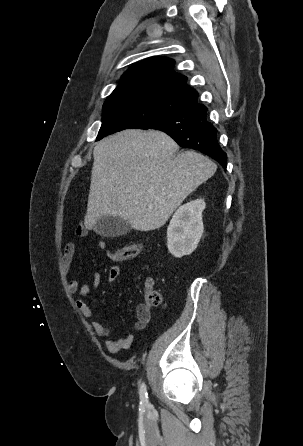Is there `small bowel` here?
<instances>
[{"mask_svg": "<svg viewBox=\"0 0 303 446\" xmlns=\"http://www.w3.org/2000/svg\"><path fill=\"white\" fill-rule=\"evenodd\" d=\"M87 228L83 223H80L76 229V235L78 237H84L87 235ZM99 249L104 250L106 247V243L104 241H99L97 243ZM75 253V244L73 242L66 243L62 256V263L66 273H68L73 257ZM121 269L118 265H114L110 268L107 281L109 283L114 282L120 275ZM101 284V277L98 272L92 274L91 280L81 284L76 279H70L67 283V287L70 293H78V297L76 300V307L78 311L87 318H92L94 316V312L92 308L87 304V297L89 295L91 287L98 291ZM152 287V283H147L146 288L150 289ZM135 316L136 323L135 329L141 330L143 329L147 323L150 321L152 316V307L148 303H140L135 307ZM91 327L93 331L99 335L100 337L105 338L104 347L108 352L115 353L121 350L128 349L132 342L133 336L131 334H127L124 337L112 340L110 339L112 335V330L103 324L92 321Z\"/></svg>", "mask_w": 303, "mask_h": 446, "instance_id": "obj_1", "label": "small bowel"}]
</instances>
